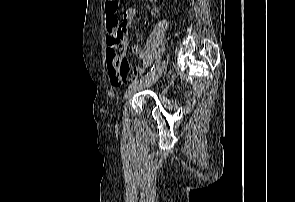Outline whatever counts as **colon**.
I'll use <instances>...</instances> for the list:
<instances>
[{
	"label": "colon",
	"instance_id": "obj_1",
	"mask_svg": "<svg viewBox=\"0 0 295 202\" xmlns=\"http://www.w3.org/2000/svg\"><path fill=\"white\" fill-rule=\"evenodd\" d=\"M119 6H120L119 0H107L106 1V13L112 15V18L108 19V21H107V28L109 30H111V32L109 34V38H110V40H112L114 42L118 41L117 34L113 31V29L119 27V25H120V20H119V16H118ZM121 76H124V75H114V77H121Z\"/></svg>",
	"mask_w": 295,
	"mask_h": 202
}]
</instances>
